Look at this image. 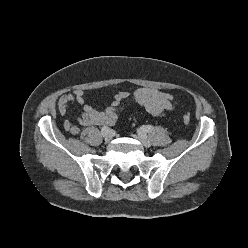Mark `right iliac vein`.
Listing matches in <instances>:
<instances>
[{
    "label": "right iliac vein",
    "mask_w": 248,
    "mask_h": 248,
    "mask_svg": "<svg viewBox=\"0 0 248 248\" xmlns=\"http://www.w3.org/2000/svg\"><path fill=\"white\" fill-rule=\"evenodd\" d=\"M111 139H112V136L110 134H108L104 137V140L106 143H108Z\"/></svg>",
    "instance_id": "1"
}]
</instances>
